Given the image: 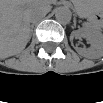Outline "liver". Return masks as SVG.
<instances>
[{"label":"liver","instance_id":"6515ba94","mask_svg":"<svg viewBox=\"0 0 103 103\" xmlns=\"http://www.w3.org/2000/svg\"><path fill=\"white\" fill-rule=\"evenodd\" d=\"M49 10V4L38 0H5L1 2V55L21 52L30 40V13Z\"/></svg>","mask_w":103,"mask_h":103}]
</instances>
